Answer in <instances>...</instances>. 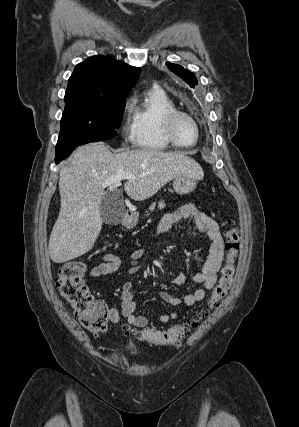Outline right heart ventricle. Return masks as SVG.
Returning a JSON list of instances; mask_svg holds the SVG:
<instances>
[{
    "mask_svg": "<svg viewBox=\"0 0 299 427\" xmlns=\"http://www.w3.org/2000/svg\"><path fill=\"white\" fill-rule=\"evenodd\" d=\"M177 110L174 101L160 87L147 89L133 105V144L150 151H165L172 148L163 132V117Z\"/></svg>",
    "mask_w": 299,
    "mask_h": 427,
    "instance_id": "1",
    "label": "right heart ventricle"
}]
</instances>
